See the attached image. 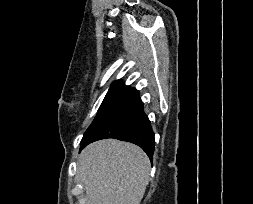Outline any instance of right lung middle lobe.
I'll return each mask as SVG.
<instances>
[{
  "instance_id": "right-lung-middle-lobe-1",
  "label": "right lung middle lobe",
  "mask_w": 253,
  "mask_h": 204,
  "mask_svg": "<svg viewBox=\"0 0 253 204\" xmlns=\"http://www.w3.org/2000/svg\"><path fill=\"white\" fill-rule=\"evenodd\" d=\"M136 92L135 88H131L129 86H125L123 83H117V84H113L107 95L105 96L101 107L95 117V119L93 120V122L91 123V125L89 126V128L87 129V131L85 132L82 141H81V145L86 142L91 134L93 133V131L119 106L121 105L128 97H130L133 93Z\"/></svg>"
}]
</instances>
